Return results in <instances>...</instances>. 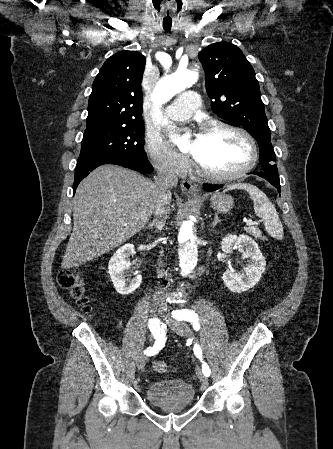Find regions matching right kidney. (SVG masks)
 <instances>
[{
    "label": "right kidney",
    "instance_id": "obj_1",
    "mask_svg": "<svg viewBox=\"0 0 333 449\" xmlns=\"http://www.w3.org/2000/svg\"><path fill=\"white\" fill-rule=\"evenodd\" d=\"M135 254L133 244H125L119 248L111 257L108 264V272L116 291L122 295H128L135 291L142 282L140 273L133 277L127 275L130 267V256Z\"/></svg>",
    "mask_w": 333,
    "mask_h": 449
}]
</instances>
